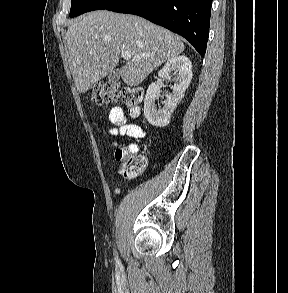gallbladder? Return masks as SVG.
Wrapping results in <instances>:
<instances>
[{
  "label": "gallbladder",
  "mask_w": 288,
  "mask_h": 293,
  "mask_svg": "<svg viewBox=\"0 0 288 293\" xmlns=\"http://www.w3.org/2000/svg\"><path fill=\"white\" fill-rule=\"evenodd\" d=\"M120 78V70L117 68V69H114L108 76V82L110 84H114L116 83Z\"/></svg>",
  "instance_id": "bac80fb5"
}]
</instances>
